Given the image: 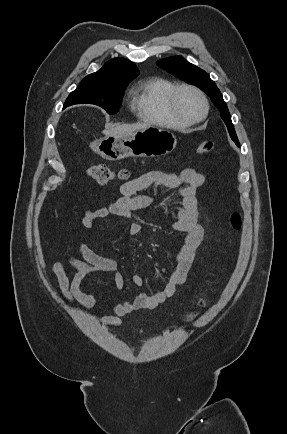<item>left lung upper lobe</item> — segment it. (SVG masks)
Here are the masks:
<instances>
[{
	"mask_svg": "<svg viewBox=\"0 0 287 434\" xmlns=\"http://www.w3.org/2000/svg\"><path fill=\"white\" fill-rule=\"evenodd\" d=\"M157 65L175 77L196 85L203 90L220 110L221 117L228 128L230 137L237 145H239L227 105L223 100L220 90L217 88L214 81L210 79L208 73L189 63L182 56H173L159 60L157 61Z\"/></svg>",
	"mask_w": 287,
	"mask_h": 434,
	"instance_id": "left-lung-upper-lobe-1",
	"label": "left lung upper lobe"
}]
</instances>
